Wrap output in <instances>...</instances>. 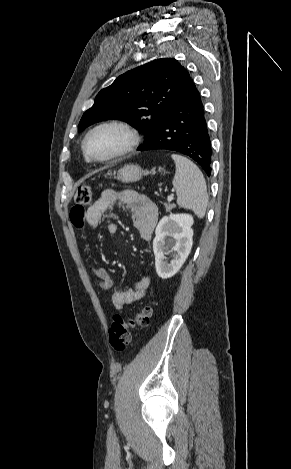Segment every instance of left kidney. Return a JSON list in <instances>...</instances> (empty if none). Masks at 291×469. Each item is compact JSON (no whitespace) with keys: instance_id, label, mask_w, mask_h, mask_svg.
Returning <instances> with one entry per match:
<instances>
[{"instance_id":"1","label":"left kidney","mask_w":291,"mask_h":469,"mask_svg":"<svg viewBox=\"0 0 291 469\" xmlns=\"http://www.w3.org/2000/svg\"><path fill=\"white\" fill-rule=\"evenodd\" d=\"M193 217L190 214H170L158 223L153 240L155 267L158 276H174L186 261L193 245ZM170 263L165 255L173 253Z\"/></svg>"}]
</instances>
